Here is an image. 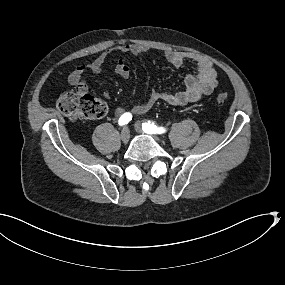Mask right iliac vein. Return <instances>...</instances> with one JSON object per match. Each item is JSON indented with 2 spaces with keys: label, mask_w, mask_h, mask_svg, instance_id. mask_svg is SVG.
<instances>
[{
  "label": "right iliac vein",
  "mask_w": 285,
  "mask_h": 285,
  "mask_svg": "<svg viewBox=\"0 0 285 285\" xmlns=\"http://www.w3.org/2000/svg\"><path fill=\"white\" fill-rule=\"evenodd\" d=\"M120 138L122 140V142L127 143L130 139V130L128 127L123 128V130L121 131V135Z\"/></svg>",
  "instance_id": "right-iliac-vein-1"
}]
</instances>
